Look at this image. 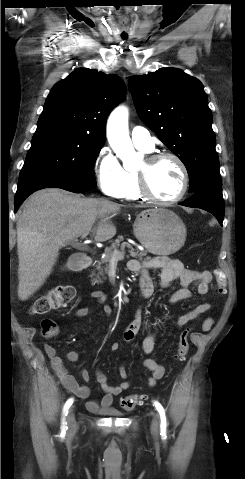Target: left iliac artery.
Here are the masks:
<instances>
[{"label": "left iliac artery", "mask_w": 245, "mask_h": 479, "mask_svg": "<svg viewBox=\"0 0 245 479\" xmlns=\"http://www.w3.org/2000/svg\"><path fill=\"white\" fill-rule=\"evenodd\" d=\"M153 405L155 406V408L157 409V411L159 412V415H160V431H161V436L164 437V439H166V427H167V420H166V414H165V410L163 408V406L157 402V401H154L153 402Z\"/></svg>", "instance_id": "obj_1"}]
</instances>
